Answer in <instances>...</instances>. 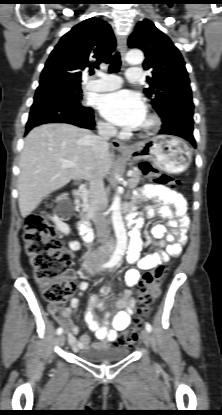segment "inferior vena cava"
Returning a JSON list of instances; mask_svg holds the SVG:
<instances>
[{
	"mask_svg": "<svg viewBox=\"0 0 222 415\" xmlns=\"http://www.w3.org/2000/svg\"><path fill=\"white\" fill-rule=\"evenodd\" d=\"M98 135L91 136L90 144L95 156L99 161L108 150V140L116 135V128L110 123H99ZM90 214L95 224L97 239L100 243L95 254L97 257L105 256L109 246L108 220L105 215L107 197L103 183V176L99 170L90 180Z\"/></svg>",
	"mask_w": 222,
	"mask_h": 415,
	"instance_id": "602c4592",
	"label": "inferior vena cava"
}]
</instances>
